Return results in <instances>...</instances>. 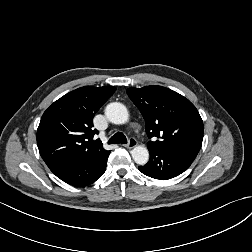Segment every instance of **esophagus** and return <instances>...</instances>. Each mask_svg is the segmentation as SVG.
Returning <instances> with one entry per match:
<instances>
[{"label": "esophagus", "mask_w": 252, "mask_h": 252, "mask_svg": "<svg viewBox=\"0 0 252 252\" xmlns=\"http://www.w3.org/2000/svg\"><path fill=\"white\" fill-rule=\"evenodd\" d=\"M126 148L132 149L137 146V140L135 138H130L129 142L124 145Z\"/></svg>", "instance_id": "esophagus-1"}]
</instances>
